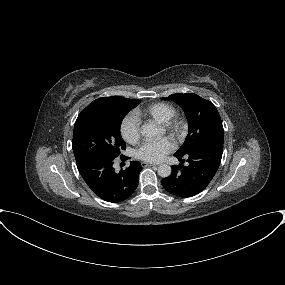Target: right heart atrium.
Masks as SVG:
<instances>
[{"label": "right heart atrium", "instance_id": "1", "mask_svg": "<svg viewBox=\"0 0 285 285\" xmlns=\"http://www.w3.org/2000/svg\"><path fill=\"white\" fill-rule=\"evenodd\" d=\"M120 133L126 142L136 144L141 137L140 119L134 113L127 114L120 123Z\"/></svg>", "mask_w": 285, "mask_h": 285}]
</instances>
